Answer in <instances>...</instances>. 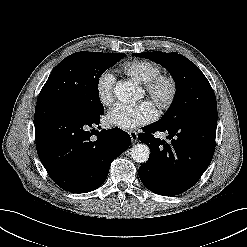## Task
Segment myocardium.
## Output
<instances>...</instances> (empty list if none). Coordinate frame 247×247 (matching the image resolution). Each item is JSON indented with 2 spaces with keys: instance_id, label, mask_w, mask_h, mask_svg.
Instances as JSON below:
<instances>
[{
  "instance_id": "f54148a6",
  "label": "myocardium",
  "mask_w": 247,
  "mask_h": 247,
  "mask_svg": "<svg viewBox=\"0 0 247 247\" xmlns=\"http://www.w3.org/2000/svg\"><path fill=\"white\" fill-rule=\"evenodd\" d=\"M163 86L168 87V93L166 96L160 97L159 91ZM144 92L151 101L155 102L158 111L164 112L174 104L179 93V83L172 75L160 74L144 83Z\"/></svg>"
}]
</instances>
